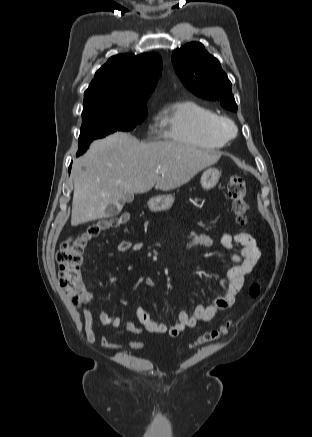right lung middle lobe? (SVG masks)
<instances>
[{
  "mask_svg": "<svg viewBox=\"0 0 312 437\" xmlns=\"http://www.w3.org/2000/svg\"><path fill=\"white\" fill-rule=\"evenodd\" d=\"M147 114V106L133 110L93 108L82 112V126L77 156L89 148L92 140L116 131H131Z\"/></svg>",
  "mask_w": 312,
  "mask_h": 437,
  "instance_id": "right-lung-middle-lobe-1",
  "label": "right lung middle lobe"
}]
</instances>
